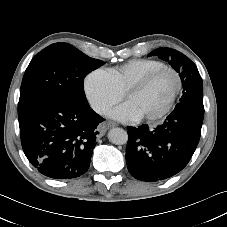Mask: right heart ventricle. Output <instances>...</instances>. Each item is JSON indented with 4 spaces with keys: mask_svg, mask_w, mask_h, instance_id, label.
Returning a JSON list of instances; mask_svg holds the SVG:
<instances>
[{
    "mask_svg": "<svg viewBox=\"0 0 227 227\" xmlns=\"http://www.w3.org/2000/svg\"><path fill=\"white\" fill-rule=\"evenodd\" d=\"M163 66L165 64L158 60L133 59L119 67L108 68L106 70L114 79L121 93H124L144 76Z\"/></svg>",
    "mask_w": 227,
    "mask_h": 227,
    "instance_id": "e07e8e85",
    "label": "right heart ventricle"
}]
</instances>
